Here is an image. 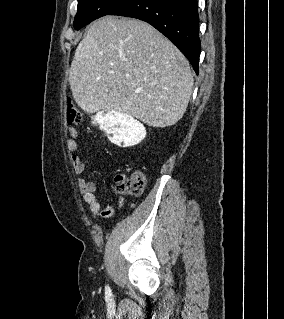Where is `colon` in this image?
Segmentation results:
<instances>
[{
    "mask_svg": "<svg viewBox=\"0 0 284 319\" xmlns=\"http://www.w3.org/2000/svg\"><path fill=\"white\" fill-rule=\"evenodd\" d=\"M67 122L69 125H78L83 121L81 111L68 100L67 109ZM145 187V176L142 172L136 171L130 176L119 175L115 178V188L120 194L129 196H139Z\"/></svg>",
    "mask_w": 284,
    "mask_h": 319,
    "instance_id": "colon-1",
    "label": "colon"
}]
</instances>
